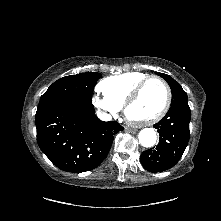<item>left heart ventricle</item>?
Segmentation results:
<instances>
[{"label": "left heart ventricle", "instance_id": "1", "mask_svg": "<svg viewBox=\"0 0 221 221\" xmlns=\"http://www.w3.org/2000/svg\"><path fill=\"white\" fill-rule=\"evenodd\" d=\"M165 97L163 85L157 80H152L145 85L138 99L130 107L129 115L136 120L148 119L162 109Z\"/></svg>", "mask_w": 221, "mask_h": 221}]
</instances>
